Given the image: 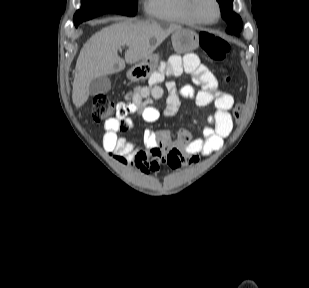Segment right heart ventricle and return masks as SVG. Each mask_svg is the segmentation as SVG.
I'll return each mask as SVG.
<instances>
[{"label": "right heart ventricle", "mask_w": 309, "mask_h": 288, "mask_svg": "<svg viewBox=\"0 0 309 288\" xmlns=\"http://www.w3.org/2000/svg\"><path fill=\"white\" fill-rule=\"evenodd\" d=\"M146 14L154 19L180 24H196L187 10V0H146Z\"/></svg>", "instance_id": "e07e8e85"}]
</instances>
